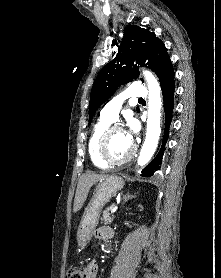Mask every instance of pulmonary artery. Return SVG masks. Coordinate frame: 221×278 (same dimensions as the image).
<instances>
[{
	"label": "pulmonary artery",
	"mask_w": 221,
	"mask_h": 278,
	"mask_svg": "<svg viewBox=\"0 0 221 278\" xmlns=\"http://www.w3.org/2000/svg\"><path fill=\"white\" fill-rule=\"evenodd\" d=\"M147 96L145 87L132 84L126 91L110 100L101 110L100 115L102 118L114 122L117 120L119 111L126 98L142 99Z\"/></svg>",
	"instance_id": "obj_1"
}]
</instances>
